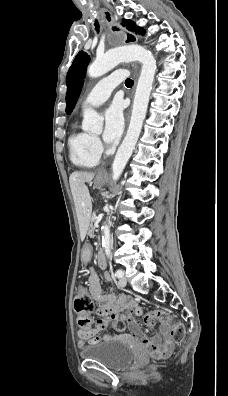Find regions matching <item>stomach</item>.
I'll use <instances>...</instances> for the list:
<instances>
[{
    "label": "stomach",
    "mask_w": 228,
    "mask_h": 396,
    "mask_svg": "<svg viewBox=\"0 0 228 396\" xmlns=\"http://www.w3.org/2000/svg\"><path fill=\"white\" fill-rule=\"evenodd\" d=\"M105 182H106V177H104V176H98L95 179V185L97 187L103 186L105 184ZM91 251H92L91 245L89 243H85L82 248L83 260H88L90 258Z\"/></svg>",
    "instance_id": "1"
}]
</instances>
